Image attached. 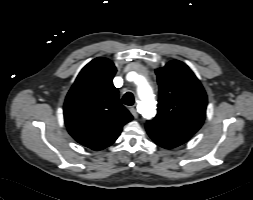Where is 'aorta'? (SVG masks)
<instances>
[{
	"label": "aorta",
	"mask_w": 253,
	"mask_h": 200,
	"mask_svg": "<svg viewBox=\"0 0 253 200\" xmlns=\"http://www.w3.org/2000/svg\"><path fill=\"white\" fill-rule=\"evenodd\" d=\"M136 82L140 113L145 119H151L156 114V99L152 87L143 76H137Z\"/></svg>",
	"instance_id": "1"
}]
</instances>
